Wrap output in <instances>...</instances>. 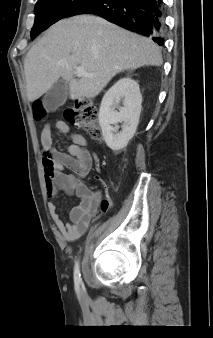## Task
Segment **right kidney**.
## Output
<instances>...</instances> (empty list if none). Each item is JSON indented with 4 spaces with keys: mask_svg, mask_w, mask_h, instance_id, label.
Wrapping results in <instances>:
<instances>
[{
    "mask_svg": "<svg viewBox=\"0 0 213 338\" xmlns=\"http://www.w3.org/2000/svg\"><path fill=\"white\" fill-rule=\"evenodd\" d=\"M141 103L139 85L131 78L120 79L105 93L99 109V124L103 138L112 150L124 148L134 136L139 123ZM118 123H123L120 132L118 127L112 126Z\"/></svg>",
    "mask_w": 213,
    "mask_h": 338,
    "instance_id": "1",
    "label": "right kidney"
}]
</instances>
